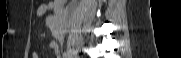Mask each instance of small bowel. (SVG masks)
<instances>
[{
  "label": "small bowel",
  "mask_w": 181,
  "mask_h": 58,
  "mask_svg": "<svg viewBox=\"0 0 181 58\" xmlns=\"http://www.w3.org/2000/svg\"><path fill=\"white\" fill-rule=\"evenodd\" d=\"M54 9L55 10V5L54 3L52 2H48V3H45V4H42L38 10H37V14L38 15H43L45 14L46 12H48L49 10H52ZM49 47L51 50L55 51L56 53H58L59 51V47H58V44L56 42H51L49 44ZM33 58H38V55L36 53H33L32 55Z\"/></svg>",
  "instance_id": "obj_1"
}]
</instances>
